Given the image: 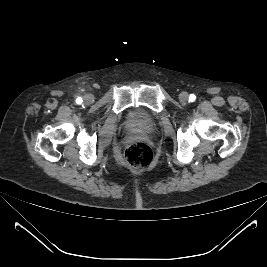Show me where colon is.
Returning <instances> with one entry per match:
<instances>
[{
    "mask_svg": "<svg viewBox=\"0 0 267 267\" xmlns=\"http://www.w3.org/2000/svg\"><path fill=\"white\" fill-rule=\"evenodd\" d=\"M153 152L151 148L142 141L128 143L124 150V161L133 168H144L151 164Z\"/></svg>",
    "mask_w": 267,
    "mask_h": 267,
    "instance_id": "5ec220e1",
    "label": "colon"
}]
</instances>
